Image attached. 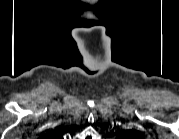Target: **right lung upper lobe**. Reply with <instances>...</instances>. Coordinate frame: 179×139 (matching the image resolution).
<instances>
[{
    "label": "right lung upper lobe",
    "mask_w": 179,
    "mask_h": 139,
    "mask_svg": "<svg viewBox=\"0 0 179 139\" xmlns=\"http://www.w3.org/2000/svg\"><path fill=\"white\" fill-rule=\"evenodd\" d=\"M49 135H55L53 132L49 133Z\"/></svg>",
    "instance_id": "right-lung-upper-lobe-1"
}]
</instances>
